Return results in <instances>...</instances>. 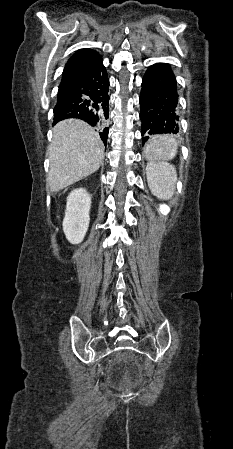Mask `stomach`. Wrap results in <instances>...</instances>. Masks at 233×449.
Wrapping results in <instances>:
<instances>
[{"label": "stomach", "instance_id": "1", "mask_svg": "<svg viewBox=\"0 0 233 449\" xmlns=\"http://www.w3.org/2000/svg\"><path fill=\"white\" fill-rule=\"evenodd\" d=\"M157 146H159L161 151H168L170 145L166 137H155L153 143L147 144L144 153L151 160H156L162 158L159 150H157Z\"/></svg>", "mask_w": 233, "mask_h": 449}]
</instances>
